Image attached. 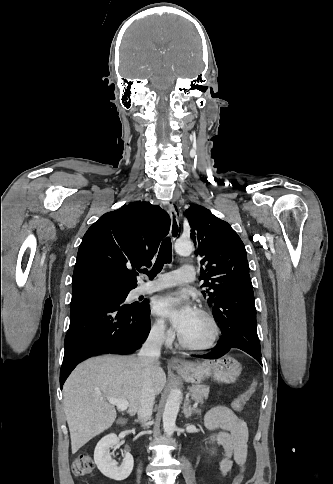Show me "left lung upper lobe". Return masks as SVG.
<instances>
[{"label":"left lung upper lobe","instance_id":"obj_1","mask_svg":"<svg viewBox=\"0 0 333 484\" xmlns=\"http://www.w3.org/2000/svg\"><path fill=\"white\" fill-rule=\"evenodd\" d=\"M185 215L191 238L198 247L196 254L204 265L200 276L204 280L202 293L214 306L219 289L228 278L249 272L245 246L232 227L208 209L192 204Z\"/></svg>","mask_w":333,"mask_h":484}]
</instances>
